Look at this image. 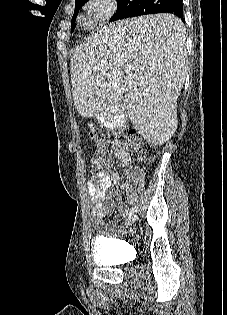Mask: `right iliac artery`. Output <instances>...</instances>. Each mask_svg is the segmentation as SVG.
<instances>
[{
    "instance_id": "obj_1",
    "label": "right iliac artery",
    "mask_w": 227,
    "mask_h": 315,
    "mask_svg": "<svg viewBox=\"0 0 227 315\" xmlns=\"http://www.w3.org/2000/svg\"><path fill=\"white\" fill-rule=\"evenodd\" d=\"M138 210V208L135 206L134 208H132L129 212V216L133 215L134 213H136Z\"/></svg>"
}]
</instances>
